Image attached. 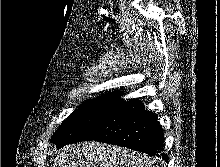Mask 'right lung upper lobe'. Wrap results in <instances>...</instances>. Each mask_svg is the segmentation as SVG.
Segmentation results:
<instances>
[{
  "label": "right lung upper lobe",
  "mask_w": 220,
  "mask_h": 167,
  "mask_svg": "<svg viewBox=\"0 0 220 167\" xmlns=\"http://www.w3.org/2000/svg\"><path fill=\"white\" fill-rule=\"evenodd\" d=\"M121 96V92H114L108 95H103L100 97L101 99H112V100H117Z\"/></svg>",
  "instance_id": "1"
}]
</instances>
